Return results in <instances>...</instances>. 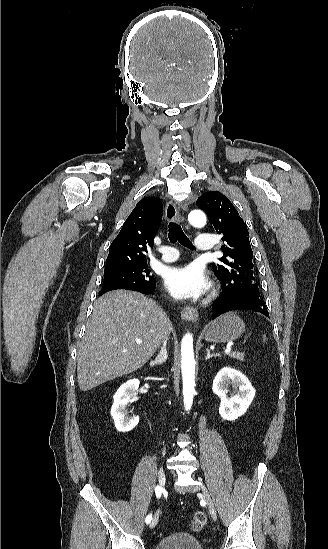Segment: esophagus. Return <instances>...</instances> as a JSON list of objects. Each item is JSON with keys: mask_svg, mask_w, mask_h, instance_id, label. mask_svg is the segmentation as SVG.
Instances as JSON below:
<instances>
[{"mask_svg": "<svg viewBox=\"0 0 328 549\" xmlns=\"http://www.w3.org/2000/svg\"><path fill=\"white\" fill-rule=\"evenodd\" d=\"M165 217L169 222H179L182 220L177 206L174 202L170 201L167 203ZM181 318L183 320L196 321L198 320V310L195 307L188 305L187 307H184V309L181 311Z\"/></svg>", "mask_w": 328, "mask_h": 549, "instance_id": "1", "label": "esophagus"}]
</instances>
